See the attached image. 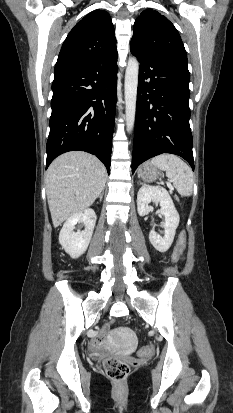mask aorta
I'll use <instances>...</instances> for the list:
<instances>
[{
    "label": "aorta",
    "instance_id": "762f6f07",
    "mask_svg": "<svg viewBox=\"0 0 233 413\" xmlns=\"http://www.w3.org/2000/svg\"><path fill=\"white\" fill-rule=\"evenodd\" d=\"M139 76V62L136 57L128 60L125 71V120L127 131L131 132L136 117L137 87Z\"/></svg>",
    "mask_w": 233,
    "mask_h": 413
}]
</instances>
